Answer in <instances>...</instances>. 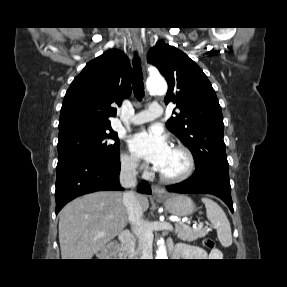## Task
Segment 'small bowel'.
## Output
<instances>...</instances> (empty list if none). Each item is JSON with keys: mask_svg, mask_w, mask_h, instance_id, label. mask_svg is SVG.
Here are the masks:
<instances>
[{"mask_svg": "<svg viewBox=\"0 0 287 287\" xmlns=\"http://www.w3.org/2000/svg\"><path fill=\"white\" fill-rule=\"evenodd\" d=\"M172 255L175 259L198 260L205 259L209 256L218 257L220 254L218 251L208 253L199 247L186 244H178L174 248H172Z\"/></svg>", "mask_w": 287, "mask_h": 287, "instance_id": "c3829d8e", "label": "small bowel"}]
</instances>
